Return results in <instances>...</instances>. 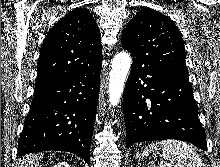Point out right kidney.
Returning a JSON list of instances; mask_svg holds the SVG:
<instances>
[{"label":"right kidney","instance_id":"obj_1","mask_svg":"<svg viewBox=\"0 0 220 167\" xmlns=\"http://www.w3.org/2000/svg\"><path fill=\"white\" fill-rule=\"evenodd\" d=\"M53 167H70L67 162H59L55 164Z\"/></svg>","mask_w":220,"mask_h":167}]
</instances>
